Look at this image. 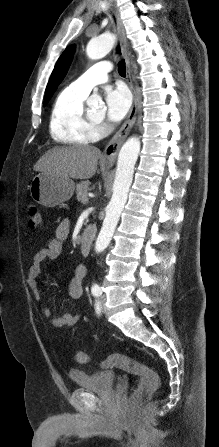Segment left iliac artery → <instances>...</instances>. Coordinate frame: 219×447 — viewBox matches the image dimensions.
Wrapping results in <instances>:
<instances>
[{
    "label": "left iliac artery",
    "mask_w": 219,
    "mask_h": 447,
    "mask_svg": "<svg viewBox=\"0 0 219 447\" xmlns=\"http://www.w3.org/2000/svg\"><path fill=\"white\" fill-rule=\"evenodd\" d=\"M92 293H93L95 296H100V295L102 294L101 290H98V289H94V290H92Z\"/></svg>",
    "instance_id": "left-iliac-artery-1"
}]
</instances>
